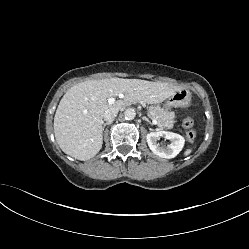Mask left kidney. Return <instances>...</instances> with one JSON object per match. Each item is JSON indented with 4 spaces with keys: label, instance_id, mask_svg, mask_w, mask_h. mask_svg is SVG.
<instances>
[{
    "label": "left kidney",
    "instance_id": "5707ae66",
    "mask_svg": "<svg viewBox=\"0 0 249 249\" xmlns=\"http://www.w3.org/2000/svg\"><path fill=\"white\" fill-rule=\"evenodd\" d=\"M160 137L170 140L166 147L159 146ZM147 143L151 151L159 157L170 159L177 156L184 147L185 139L179 134L167 131H156L147 134Z\"/></svg>",
    "mask_w": 249,
    "mask_h": 249
}]
</instances>
